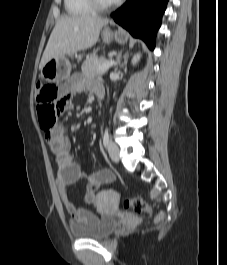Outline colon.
<instances>
[{
    "label": "colon",
    "instance_id": "obj_1",
    "mask_svg": "<svg viewBox=\"0 0 227 265\" xmlns=\"http://www.w3.org/2000/svg\"><path fill=\"white\" fill-rule=\"evenodd\" d=\"M65 99L60 97L59 88L55 84L38 83L36 86V102L39 122L43 130L49 131L56 123L58 115L62 112L57 111V100ZM126 210L135 213H150L148 204L141 198H126L123 201ZM164 219V212L157 214L155 221L157 223Z\"/></svg>",
    "mask_w": 227,
    "mask_h": 265
}]
</instances>
